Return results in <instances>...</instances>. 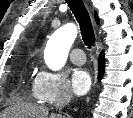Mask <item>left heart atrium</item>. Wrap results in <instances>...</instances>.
<instances>
[{
    "label": "left heart atrium",
    "instance_id": "39dd6f15",
    "mask_svg": "<svg viewBox=\"0 0 133 118\" xmlns=\"http://www.w3.org/2000/svg\"><path fill=\"white\" fill-rule=\"evenodd\" d=\"M71 87L75 94L84 95L91 87V77L84 69H77L73 72L71 78Z\"/></svg>",
    "mask_w": 133,
    "mask_h": 118
}]
</instances>
